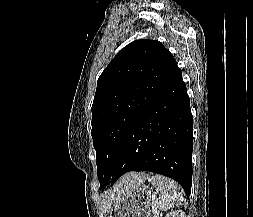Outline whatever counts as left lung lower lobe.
<instances>
[{
    "label": "left lung lower lobe",
    "mask_w": 253,
    "mask_h": 217,
    "mask_svg": "<svg viewBox=\"0 0 253 217\" xmlns=\"http://www.w3.org/2000/svg\"><path fill=\"white\" fill-rule=\"evenodd\" d=\"M192 144L190 99L181 74L133 122L107 184L113 185L128 171H150L176 180L189 197Z\"/></svg>",
    "instance_id": "left-lung-lower-lobe-1"
}]
</instances>
